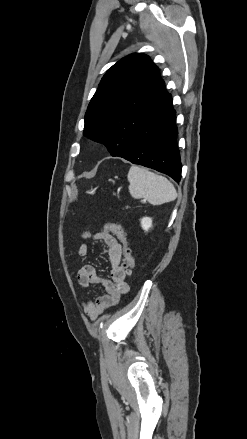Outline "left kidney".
Returning a JSON list of instances; mask_svg holds the SVG:
<instances>
[{
  "label": "left kidney",
  "instance_id": "obj_1",
  "mask_svg": "<svg viewBox=\"0 0 247 439\" xmlns=\"http://www.w3.org/2000/svg\"><path fill=\"white\" fill-rule=\"evenodd\" d=\"M141 227L143 228V230L148 231L152 227V218L143 217L141 219Z\"/></svg>",
  "mask_w": 247,
  "mask_h": 439
}]
</instances>
